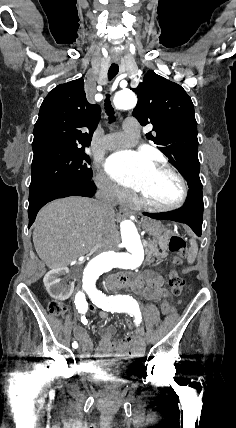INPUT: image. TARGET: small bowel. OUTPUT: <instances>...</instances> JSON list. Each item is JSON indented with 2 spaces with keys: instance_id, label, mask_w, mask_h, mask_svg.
Instances as JSON below:
<instances>
[{
  "instance_id": "1",
  "label": "small bowel",
  "mask_w": 236,
  "mask_h": 428,
  "mask_svg": "<svg viewBox=\"0 0 236 428\" xmlns=\"http://www.w3.org/2000/svg\"><path fill=\"white\" fill-rule=\"evenodd\" d=\"M162 284L161 276L154 272H147L140 277L133 289L143 294L146 298L157 301L166 296V291L163 289ZM100 317L107 319L108 312L101 311ZM74 332L75 337L82 343L80 358L86 366H95L99 360L112 357L137 359L143 354L145 342L141 331L120 341H114L112 338L115 334V328L111 325L103 327L100 330L101 342L96 348L95 355L92 354L93 342L86 330L81 326H77Z\"/></svg>"
}]
</instances>
